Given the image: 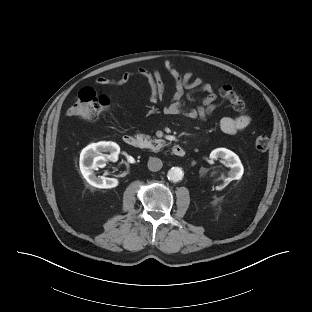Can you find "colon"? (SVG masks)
<instances>
[{"label": "colon", "instance_id": "colon-1", "mask_svg": "<svg viewBox=\"0 0 312 312\" xmlns=\"http://www.w3.org/2000/svg\"><path fill=\"white\" fill-rule=\"evenodd\" d=\"M221 95L226 98L238 113L246 111V103L243 97L230 85H224L220 89ZM110 106V101L105 96H99L90 87L80 90L77 99L68 110L72 117L97 120ZM257 151L264 152L269 148L270 139L266 135H260L255 140Z\"/></svg>", "mask_w": 312, "mask_h": 312}]
</instances>
